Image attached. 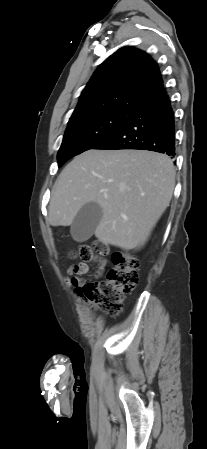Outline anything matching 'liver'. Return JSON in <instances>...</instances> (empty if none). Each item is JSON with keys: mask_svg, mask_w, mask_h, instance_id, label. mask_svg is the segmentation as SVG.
Wrapping results in <instances>:
<instances>
[{"mask_svg": "<svg viewBox=\"0 0 207 449\" xmlns=\"http://www.w3.org/2000/svg\"><path fill=\"white\" fill-rule=\"evenodd\" d=\"M175 169L164 154L146 150H88L58 176L49 204L52 226H69L89 202L103 210L95 236L104 244L142 247L169 206Z\"/></svg>", "mask_w": 207, "mask_h": 449, "instance_id": "obj_1", "label": "liver"}]
</instances>
